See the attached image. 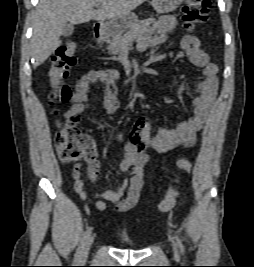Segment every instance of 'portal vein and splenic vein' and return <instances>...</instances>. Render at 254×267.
<instances>
[{"instance_id":"1","label":"portal vein and splenic vein","mask_w":254,"mask_h":267,"mask_svg":"<svg viewBox=\"0 0 254 267\" xmlns=\"http://www.w3.org/2000/svg\"><path fill=\"white\" fill-rule=\"evenodd\" d=\"M95 6H96V7H99V6H100V4H95Z\"/></svg>"}]
</instances>
